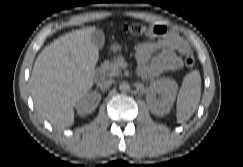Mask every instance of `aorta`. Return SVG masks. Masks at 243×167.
I'll return each mask as SVG.
<instances>
[{
	"label": "aorta",
	"instance_id": "aorta-1",
	"mask_svg": "<svg viewBox=\"0 0 243 167\" xmlns=\"http://www.w3.org/2000/svg\"><path fill=\"white\" fill-rule=\"evenodd\" d=\"M119 89L120 91L122 92H127L130 90V84L127 83V82H122L120 85H119Z\"/></svg>",
	"mask_w": 243,
	"mask_h": 167
}]
</instances>
